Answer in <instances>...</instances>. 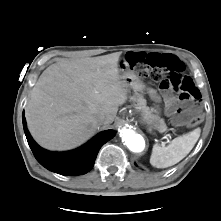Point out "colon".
I'll return each instance as SVG.
<instances>
[{
	"label": "colon",
	"mask_w": 221,
	"mask_h": 221,
	"mask_svg": "<svg viewBox=\"0 0 221 221\" xmlns=\"http://www.w3.org/2000/svg\"><path fill=\"white\" fill-rule=\"evenodd\" d=\"M127 59L131 69L139 76L159 82L163 90L179 95L182 106L175 115L178 121L187 122L190 126L201 122L200 113L192 111L193 104L199 98V91L185 73V65L176 56L149 53L146 62H141L139 55L131 52Z\"/></svg>",
	"instance_id": "colon-1"
}]
</instances>
